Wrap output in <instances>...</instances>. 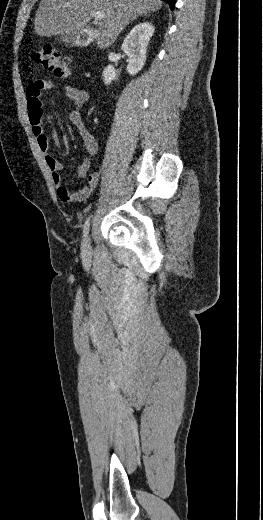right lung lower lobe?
Returning a JSON list of instances; mask_svg holds the SVG:
<instances>
[{
    "instance_id": "1",
    "label": "right lung lower lobe",
    "mask_w": 263,
    "mask_h": 520,
    "mask_svg": "<svg viewBox=\"0 0 263 520\" xmlns=\"http://www.w3.org/2000/svg\"><path fill=\"white\" fill-rule=\"evenodd\" d=\"M163 1L167 2L170 5L171 10L174 9L176 0H163Z\"/></svg>"
}]
</instances>
